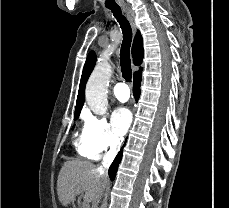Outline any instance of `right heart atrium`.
Here are the masks:
<instances>
[{"instance_id":"right-heart-atrium-1","label":"right heart atrium","mask_w":229,"mask_h":208,"mask_svg":"<svg viewBox=\"0 0 229 208\" xmlns=\"http://www.w3.org/2000/svg\"><path fill=\"white\" fill-rule=\"evenodd\" d=\"M83 146L95 155L110 148L119 147L122 139L114 134L111 126L104 117L87 113L83 118L82 135Z\"/></svg>"}]
</instances>
